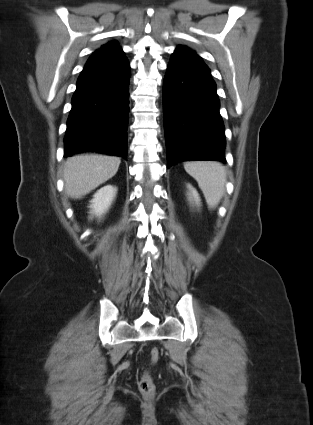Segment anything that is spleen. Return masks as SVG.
Instances as JSON below:
<instances>
[{
	"label": "spleen",
	"mask_w": 313,
	"mask_h": 425,
	"mask_svg": "<svg viewBox=\"0 0 313 425\" xmlns=\"http://www.w3.org/2000/svg\"><path fill=\"white\" fill-rule=\"evenodd\" d=\"M185 171L198 183L209 208H215L225 192V167L212 161H197L184 163Z\"/></svg>",
	"instance_id": "1"
}]
</instances>
